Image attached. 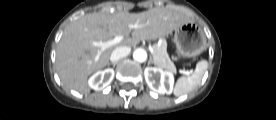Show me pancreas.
Returning a JSON list of instances; mask_svg holds the SVG:
<instances>
[{
    "label": "pancreas",
    "instance_id": "cf45deb5",
    "mask_svg": "<svg viewBox=\"0 0 276 120\" xmlns=\"http://www.w3.org/2000/svg\"><path fill=\"white\" fill-rule=\"evenodd\" d=\"M153 49L154 53L152 55L155 64L160 68L169 70L170 72H176V67L167 53V44L163 42L160 46L154 45Z\"/></svg>",
    "mask_w": 276,
    "mask_h": 120
}]
</instances>
